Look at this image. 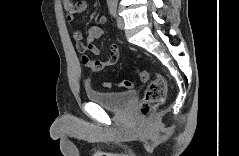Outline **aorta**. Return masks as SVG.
<instances>
[{
    "label": "aorta",
    "instance_id": "1",
    "mask_svg": "<svg viewBox=\"0 0 239 156\" xmlns=\"http://www.w3.org/2000/svg\"><path fill=\"white\" fill-rule=\"evenodd\" d=\"M109 5H116L117 4V0H107Z\"/></svg>",
    "mask_w": 239,
    "mask_h": 156
}]
</instances>
